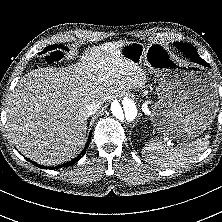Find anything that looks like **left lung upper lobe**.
<instances>
[{"instance_id": "5c2ea615", "label": "left lung upper lobe", "mask_w": 222, "mask_h": 222, "mask_svg": "<svg viewBox=\"0 0 222 222\" xmlns=\"http://www.w3.org/2000/svg\"><path fill=\"white\" fill-rule=\"evenodd\" d=\"M174 45L181 51H183V53L185 55H188V54H193L194 56H196L197 58H200L197 54V51L196 49L191 45V44H188V43H181V42H176L174 43ZM202 59V58H200Z\"/></svg>"}]
</instances>
